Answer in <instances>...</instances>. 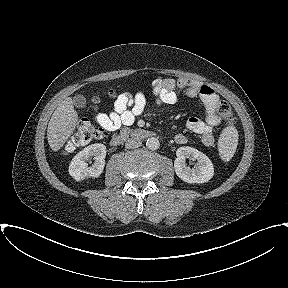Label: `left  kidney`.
Segmentation results:
<instances>
[{"mask_svg":"<svg viewBox=\"0 0 288 288\" xmlns=\"http://www.w3.org/2000/svg\"><path fill=\"white\" fill-rule=\"evenodd\" d=\"M176 156L174 169L177 176L184 182L200 184L208 182L213 177L214 168L211 160L197 149L183 146L177 149ZM187 157L197 160L196 167L190 168L186 165Z\"/></svg>","mask_w":288,"mask_h":288,"instance_id":"left-kidney-1","label":"left kidney"}]
</instances>
